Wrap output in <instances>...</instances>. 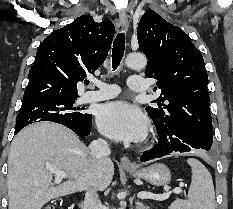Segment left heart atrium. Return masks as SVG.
Returning <instances> with one entry per match:
<instances>
[{
	"instance_id": "1",
	"label": "left heart atrium",
	"mask_w": 233,
	"mask_h": 209,
	"mask_svg": "<svg viewBox=\"0 0 233 209\" xmlns=\"http://www.w3.org/2000/svg\"><path fill=\"white\" fill-rule=\"evenodd\" d=\"M96 122L100 131L114 140L137 141L147 131V120L142 111L123 100L101 105Z\"/></svg>"
}]
</instances>
